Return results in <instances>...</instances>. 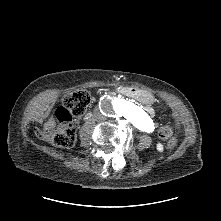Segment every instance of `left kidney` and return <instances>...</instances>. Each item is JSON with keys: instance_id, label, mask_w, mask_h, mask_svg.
<instances>
[{"instance_id": "obj_1", "label": "left kidney", "mask_w": 221, "mask_h": 221, "mask_svg": "<svg viewBox=\"0 0 221 221\" xmlns=\"http://www.w3.org/2000/svg\"><path fill=\"white\" fill-rule=\"evenodd\" d=\"M156 149H157L158 152H163V151H164V146H163V144L158 143V144L156 145Z\"/></svg>"}]
</instances>
